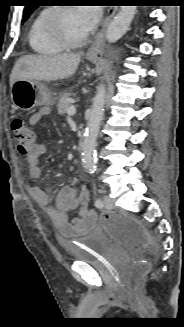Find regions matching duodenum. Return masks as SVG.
I'll use <instances>...</instances> for the list:
<instances>
[{"mask_svg":"<svg viewBox=\"0 0 184 327\" xmlns=\"http://www.w3.org/2000/svg\"><path fill=\"white\" fill-rule=\"evenodd\" d=\"M85 143H86V137L83 134H81V136L79 138V143H78V151L79 152L84 151Z\"/></svg>","mask_w":184,"mask_h":327,"instance_id":"obj_1","label":"duodenum"}]
</instances>
